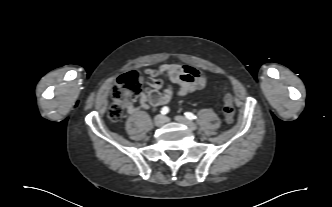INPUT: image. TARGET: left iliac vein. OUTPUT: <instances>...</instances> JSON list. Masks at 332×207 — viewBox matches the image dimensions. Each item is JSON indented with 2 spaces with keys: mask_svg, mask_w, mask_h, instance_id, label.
<instances>
[{
  "mask_svg": "<svg viewBox=\"0 0 332 207\" xmlns=\"http://www.w3.org/2000/svg\"><path fill=\"white\" fill-rule=\"evenodd\" d=\"M175 120L184 124L185 126L189 127L191 130H196L197 126L195 123H193L192 121L186 119L183 116H176Z\"/></svg>",
  "mask_w": 332,
  "mask_h": 207,
  "instance_id": "4c4485c4",
  "label": "left iliac vein"
}]
</instances>
